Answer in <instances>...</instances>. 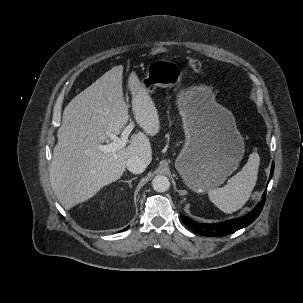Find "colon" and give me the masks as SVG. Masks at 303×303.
Masks as SVG:
<instances>
[{
    "mask_svg": "<svg viewBox=\"0 0 303 303\" xmlns=\"http://www.w3.org/2000/svg\"><path fill=\"white\" fill-rule=\"evenodd\" d=\"M165 52L166 48L164 46H157L153 49L152 54L156 57H159L165 54ZM187 65L194 72H201L203 70L202 63L196 58L188 57Z\"/></svg>",
    "mask_w": 303,
    "mask_h": 303,
    "instance_id": "obj_1",
    "label": "colon"
}]
</instances>
